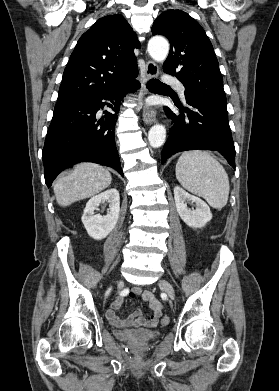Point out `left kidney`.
I'll return each instance as SVG.
<instances>
[{
  "label": "left kidney",
  "mask_w": 279,
  "mask_h": 391,
  "mask_svg": "<svg viewBox=\"0 0 279 391\" xmlns=\"http://www.w3.org/2000/svg\"><path fill=\"white\" fill-rule=\"evenodd\" d=\"M174 199L179 216L189 227H204L212 219L209 206L202 199L189 194L180 186L174 188ZM188 203H194L196 209L188 208Z\"/></svg>",
  "instance_id": "5707ae66"
}]
</instances>
